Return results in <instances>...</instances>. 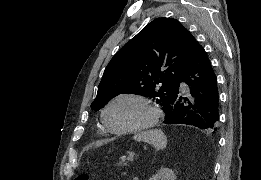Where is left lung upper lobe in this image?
<instances>
[{
  "instance_id": "1",
  "label": "left lung upper lobe",
  "mask_w": 261,
  "mask_h": 180,
  "mask_svg": "<svg viewBox=\"0 0 261 180\" xmlns=\"http://www.w3.org/2000/svg\"><path fill=\"white\" fill-rule=\"evenodd\" d=\"M198 45L176 19L153 20L111 59L91 109L98 111L114 96L129 93L154 98L165 110Z\"/></svg>"
}]
</instances>
